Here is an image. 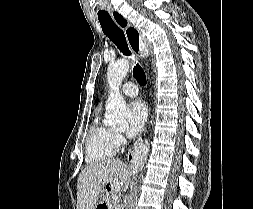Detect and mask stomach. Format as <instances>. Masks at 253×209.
Returning a JSON list of instances; mask_svg holds the SVG:
<instances>
[{
  "label": "stomach",
  "instance_id": "obj_1",
  "mask_svg": "<svg viewBox=\"0 0 253 209\" xmlns=\"http://www.w3.org/2000/svg\"><path fill=\"white\" fill-rule=\"evenodd\" d=\"M103 191H98V201L95 202V209H114V202L111 199L114 193V182L101 181Z\"/></svg>",
  "mask_w": 253,
  "mask_h": 209
}]
</instances>
